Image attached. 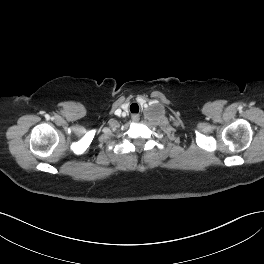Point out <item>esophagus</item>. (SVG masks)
Wrapping results in <instances>:
<instances>
[{
    "instance_id": "esophagus-1",
    "label": "esophagus",
    "mask_w": 264,
    "mask_h": 264,
    "mask_svg": "<svg viewBox=\"0 0 264 264\" xmlns=\"http://www.w3.org/2000/svg\"><path fill=\"white\" fill-rule=\"evenodd\" d=\"M132 119H133V121H138L139 116L137 114H134V115H132Z\"/></svg>"
}]
</instances>
